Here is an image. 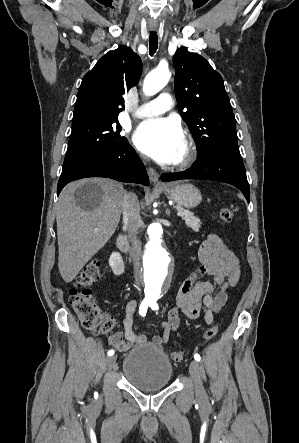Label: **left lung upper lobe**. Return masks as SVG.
I'll return each instance as SVG.
<instances>
[{
  "instance_id": "1",
  "label": "left lung upper lobe",
  "mask_w": 299,
  "mask_h": 443,
  "mask_svg": "<svg viewBox=\"0 0 299 443\" xmlns=\"http://www.w3.org/2000/svg\"><path fill=\"white\" fill-rule=\"evenodd\" d=\"M179 111L197 142V157L212 151L240 155L236 121L221 75L202 56L178 49L173 57Z\"/></svg>"
}]
</instances>
